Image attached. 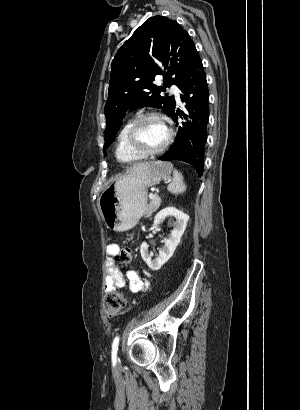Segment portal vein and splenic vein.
Listing matches in <instances>:
<instances>
[{
	"label": "portal vein and splenic vein",
	"instance_id": "18ae733b",
	"mask_svg": "<svg viewBox=\"0 0 300 410\" xmlns=\"http://www.w3.org/2000/svg\"><path fill=\"white\" fill-rule=\"evenodd\" d=\"M149 198L153 200V199L157 198V196H156L155 194H153V193H150V194H149Z\"/></svg>",
	"mask_w": 300,
	"mask_h": 410
}]
</instances>
